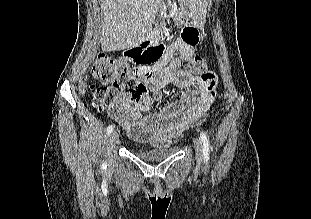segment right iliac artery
<instances>
[{
	"label": "right iliac artery",
	"instance_id": "right-iliac-artery-1",
	"mask_svg": "<svg viewBox=\"0 0 311 219\" xmlns=\"http://www.w3.org/2000/svg\"><path fill=\"white\" fill-rule=\"evenodd\" d=\"M113 128H114L113 125H109V126H108V128H107V134H108V136L113 132ZM103 166H106V163H104Z\"/></svg>",
	"mask_w": 311,
	"mask_h": 219
}]
</instances>
